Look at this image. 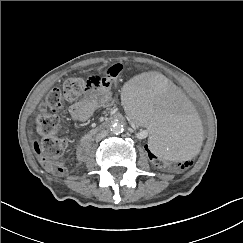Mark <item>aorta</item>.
Returning <instances> with one entry per match:
<instances>
[{"mask_svg": "<svg viewBox=\"0 0 243 243\" xmlns=\"http://www.w3.org/2000/svg\"><path fill=\"white\" fill-rule=\"evenodd\" d=\"M124 130V127L122 125V123H120L119 121H111L109 124V131L112 134H120L122 133Z\"/></svg>", "mask_w": 243, "mask_h": 243, "instance_id": "obj_1", "label": "aorta"}]
</instances>
